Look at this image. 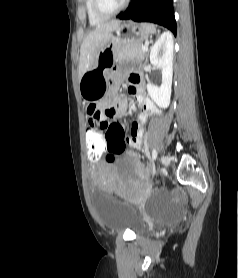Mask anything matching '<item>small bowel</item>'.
I'll return each instance as SVG.
<instances>
[{
	"label": "small bowel",
	"instance_id": "obj_1",
	"mask_svg": "<svg viewBox=\"0 0 238 278\" xmlns=\"http://www.w3.org/2000/svg\"><path fill=\"white\" fill-rule=\"evenodd\" d=\"M123 79L122 74H117L112 81V92L106 93V99L99 103H90L87 107V114L89 117V130H96L98 137H122L125 145L128 144L133 149H140L143 145L144 128L148 117L152 114L158 113L157 108L151 100L144 94V85L141 74L132 72L128 75L129 88L128 91L133 95L137 101L141 112L138 119L130 126L129 137H125L124 126L118 122L113 121V118L122 117L128 108L127 101L119 99L117 90ZM106 113H114L108 116ZM117 125L119 127H113ZM123 130V132H122ZM107 150V149H106ZM140 170V165L137 162L136 171Z\"/></svg>",
	"mask_w": 238,
	"mask_h": 278
}]
</instances>
